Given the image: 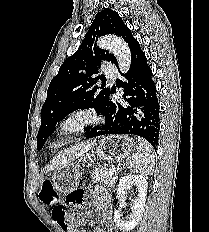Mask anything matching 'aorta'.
I'll return each mask as SVG.
<instances>
[{"mask_svg": "<svg viewBox=\"0 0 209 232\" xmlns=\"http://www.w3.org/2000/svg\"><path fill=\"white\" fill-rule=\"evenodd\" d=\"M98 46L113 53L118 61L120 70L125 73L131 64V53L128 45L120 38L115 36H103L98 41Z\"/></svg>", "mask_w": 209, "mask_h": 232, "instance_id": "aorta-1", "label": "aorta"}]
</instances>
